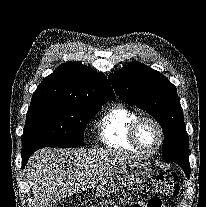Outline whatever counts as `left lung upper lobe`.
Returning <instances> with one entry per match:
<instances>
[{
	"instance_id": "1",
	"label": "left lung upper lobe",
	"mask_w": 206,
	"mask_h": 207,
	"mask_svg": "<svg viewBox=\"0 0 206 207\" xmlns=\"http://www.w3.org/2000/svg\"><path fill=\"white\" fill-rule=\"evenodd\" d=\"M119 97L152 115L162 126V157L190 175L188 135L176 87L160 72L131 62L109 76Z\"/></svg>"
}]
</instances>
